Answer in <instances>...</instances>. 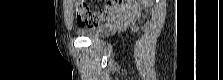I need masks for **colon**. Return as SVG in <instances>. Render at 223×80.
Wrapping results in <instances>:
<instances>
[{
  "mask_svg": "<svg viewBox=\"0 0 223 80\" xmlns=\"http://www.w3.org/2000/svg\"><path fill=\"white\" fill-rule=\"evenodd\" d=\"M123 2V0H111L107 5L93 11L86 1L78 0L75 3L77 22L87 26L98 25L107 19L115 7L122 5Z\"/></svg>",
  "mask_w": 223,
  "mask_h": 80,
  "instance_id": "5ec220e1",
  "label": "colon"
}]
</instances>
